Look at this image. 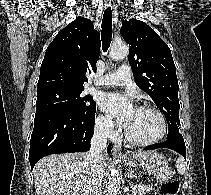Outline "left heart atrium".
Returning <instances> with one entry per match:
<instances>
[{
  "label": "left heart atrium",
  "instance_id": "39dd6f15",
  "mask_svg": "<svg viewBox=\"0 0 211 195\" xmlns=\"http://www.w3.org/2000/svg\"><path fill=\"white\" fill-rule=\"evenodd\" d=\"M100 106L125 126L136 109L129 96L114 92L103 94L100 98Z\"/></svg>",
  "mask_w": 211,
  "mask_h": 195
}]
</instances>
